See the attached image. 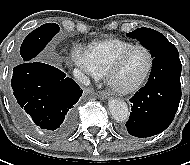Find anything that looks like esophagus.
<instances>
[{
  "label": "esophagus",
  "instance_id": "1",
  "mask_svg": "<svg viewBox=\"0 0 190 165\" xmlns=\"http://www.w3.org/2000/svg\"><path fill=\"white\" fill-rule=\"evenodd\" d=\"M109 96H110V94H109V92H107V91H101V92L99 93V97L102 98V99H106V98H108Z\"/></svg>",
  "mask_w": 190,
  "mask_h": 165
}]
</instances>
